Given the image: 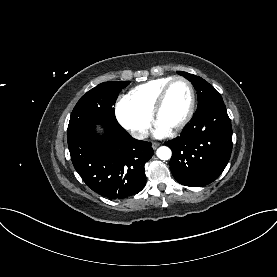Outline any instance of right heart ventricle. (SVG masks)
I'll list each match as a JSON object with an SVG mask.
<instances>
[{"instance_id": "e07e8e85", "label": "right heart ventricle", "mask_w": 277, "mask_h": 277, "mask_svg": "<svg viewBox=\"0 0 277 277\" xmlns=\"http://www.w3.org/2000/svg\"><path fill=\"white\" fill-rule=\"evenodd\" d=\"M171 79L172 77H162L147 81L132 88L126 97L137 109L151 115L158 94Z\"/></svg>"}]
</instances>
